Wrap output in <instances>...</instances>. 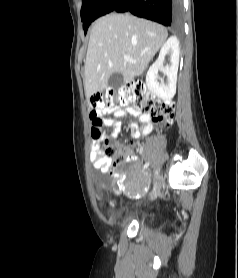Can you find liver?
I'll return each mask as SVG.
<instances>
[{"instance_id":"1","label":"liver","mask_w":238,"mask_h":278,"mask_svg":"<svg viewBox=\"0 0 238 278\" xmlns=\"http://www.w3.org/2000/svg\"><path fill=\"white\" fill-rule=\"evenodd\" d=\"M167 37L163 26L130 14L111 13L96 20L85 60L86 97L105 90L114 73H121L126 84L142 75ZM124 55L134 62L125 61Z\"/></svg>"}]
</instances>
